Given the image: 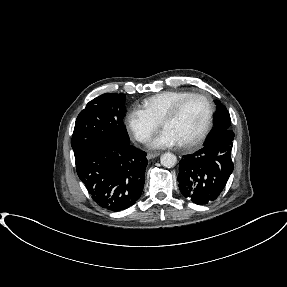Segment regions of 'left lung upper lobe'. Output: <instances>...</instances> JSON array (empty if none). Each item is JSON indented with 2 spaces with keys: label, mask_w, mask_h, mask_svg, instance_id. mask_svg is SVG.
Segmentation results:
<instances>
[{
  "label": "left lung upper lobe",
  "mask_w": 287,
  "mask_h": 287,
  "mask_svg": "<svg viewBox=\"0 0 287 287\" xmlns=\"http://www.w3.org/2000/svg\"><path fill=\"white\" fill-rule=\"evenodd\" d=\"M215 103L217 105V112L215 114V127L213 131L211 132L210 136L208 137L207 141L216 137L220 133L229 130L231 119L229 112L227 111L226 107L221 104L220 101L215 100Z\"/></svg>",
  "instance_id": "1"
}]
</instances>
